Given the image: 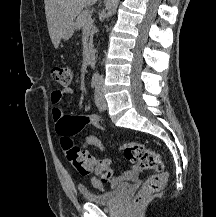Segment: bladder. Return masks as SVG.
Returning a JSON list of instances; mask_svg holds the SVG:
<instances>
[{
    "instance_id": "31cf9c89",
    "label": "bladder",
    "mask_w": 216,
    "mask_h": 217,
    "mask_svg": "<svg viewBox=\"0 0 216 217\" xmlns=\"http://www.w3.org/2000/svg\"><path fill=\"white\" fill-rule=\"evenodd\" d=\"M129 188L128 185H121L106 192H93L90 190L82 189V198L89 203L98 205H110L117 203Z\"/></svg>"
}]
</instances>
